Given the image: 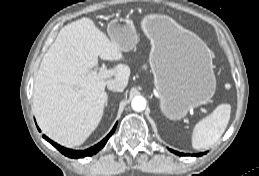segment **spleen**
<instances>
[{"instance_id": "1", "label": "spleen", "mask_w": 259, "mask_h": 176, "mask_svg": "<svg viewBox=\"0 0 259 176\" xmlns=\"http://www.w3.org/2000/svg\"><path fill=\"white\" fill-rule=\"evenodd\" d=\"M231 105L220 104L213 117L200 120L190 135L191 146L196 150H206L222 136L230 120Z\"/></svg>"}]
</instances>
